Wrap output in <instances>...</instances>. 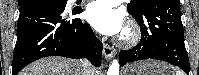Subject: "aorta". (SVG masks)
<instances>
[{
    "instance_id": "obj_1",
    "label": "aorta",
    "mask_w": 199,
    "mask_h": 75,
    "mask_svg": "<svg viewBox=\"0 0 199 75\" xmlns=\"http://www.w3.org/2000/svg\"><path fill=\"white\" fill-rule=\"evenodd\" d=\"M107 75H119V63L117 60H113L112 64L109 66Z\"/></svg>"
}]
</instances>
